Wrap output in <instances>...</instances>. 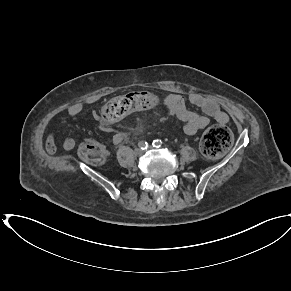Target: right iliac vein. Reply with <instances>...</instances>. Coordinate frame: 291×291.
Masks as SVG:
<instances>
[{
	"instance_id": "1",
	"label": "right iliac vein",
	"mask_w": 291,
	"mask_h": 291,
	"mask_svg": "<svg viewBox=\"0 0 291 291\" xmlns=\"http://www.w3.org/2000/svg\"><path fill=\"white\" fill-rule=\"evenodd\" d=\"M134 153H135V155H141L142 151L140 149H135Z\"/></svg>"
}]
</instances>
